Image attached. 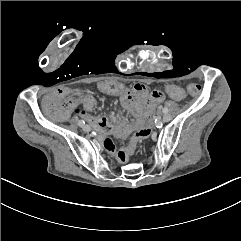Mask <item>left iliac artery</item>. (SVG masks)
<instances>
[{
	"instance_id": "1",
	"label": "left iliac artery",
	"mask_w": 241,
	"mask_h": 241,
	"mask_svg": "<svg viewBox=\"0 0 241 241\" xmlns=\"http://www.w3.org/2000/svg\"><path fill=\"white\" fill-rule=\"evenodd\" d=\"M162 111H163V113H168V108H166V107H164L163 109H162Z\"/></svg>"
}]
</instances>
